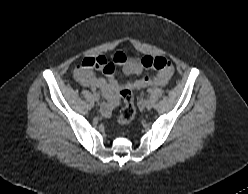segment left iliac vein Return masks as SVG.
I'll return each instance as SVG.
<instances>
[{"instance_id":"left-iliac-vein-1","label":"left iliac vein","mask_w":248,"mask_h":194,"mask_svg":"<svg viewBox=\"0 0 248 194\" xmlns=\"http://www.w3.org/2000/svg\"><path fill=\"white\" fill-rule=\"evenodd\" d=\"M145 107L147 110H150L152 109L153 107V101L151 99H148L146 102H145Z\"/></svg>"}]
</instances>
